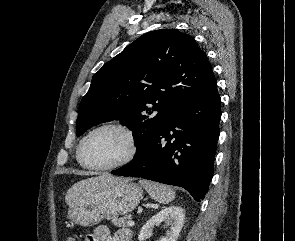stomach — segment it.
<instances>
[{"label": "stomach", "instance_id": "1", "mask_svg": "<svg viewBox=\"0 0 295 241\" xmlns=\"http://www.w3.org/2000/svg\"><path fill=\"white\" fill-rule=\"evenodd\" d=\"M142 197L138 184L120 179L76 196L69 204L68 218L80 226H94L104 218L128 214Z\"/></svg>", "mask_w": 295, "mask_h": 241}]
</instances>
